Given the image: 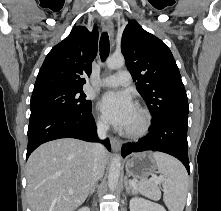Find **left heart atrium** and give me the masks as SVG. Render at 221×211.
I'll use <instances>...</instances> for the list:
<instances>
[{"instance_id":"1","label":"left heart atrium","mask_w":221,"mask_h":211,"mask_svg":"<svg viewBox=\"0 0 221 211\" xmlns=\"http://www.w3.org/2000/svg\"><path fill=\"white\" fill-rule=\"evenodd\" d=\"M99 110L104 117L115 127L125 129L136 106L132 97L124 91H109L99 100Z\"/></svg>"}]
</instances>
